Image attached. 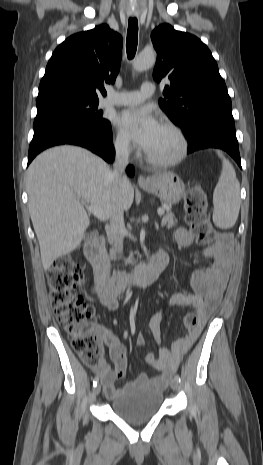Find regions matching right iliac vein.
<instances>
[{"instance_id":"obj_1","label":"right iliac vein","mask_w":263,"mask_h":465,"mask_svg":"<svg viewBox=\"0 0 263 465\" xmlns=\"http://www.w3.org/2000/svg\"><path fill=\"white\" fill-rule=\"evenodd\" d=\"M100 391H101V385L98 384L97 386L94 387V394L99 395Z\"/></svg>"}]
</instances>
